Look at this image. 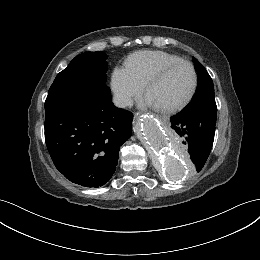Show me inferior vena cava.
I'll use <instances>...</instances> for the list:
<instances>
[{
    "mask_svg": "<svg viewBox=\"0 0 260 260\" xmlns=\"http://www.w3.org/2000/svg\"><path fill=\"white\" fill-rule=\"evenodd\" d=\"M113 103L119 108H124L133 105V100L130 96L124 93H115L113 95Z\"/></svg>",
    "mask_w": 260,
    "mask_h": 260,
    "instance_id": "1",
    "label": "inferior vena cava"
}]
</instances>
